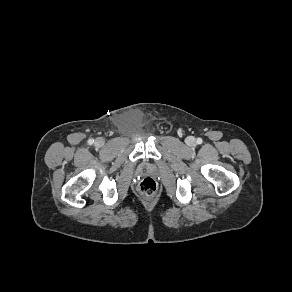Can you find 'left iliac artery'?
<instances>
[{
    "instance_id": "1",
    "label": "left iliac artery",
    "mask_w": 292,
    "mask_h": 292,
    "mask_svg": "<svg viewBox=\"0 0 292 292\" xmlns=\"http://www.w3.org/2000/svg\"><path fill=\"white\" fill-rule=\"evenodd\" d=\"M203 142V140L201 138L197 139V144H201Z\"/></svg>"
}]
</instances>
